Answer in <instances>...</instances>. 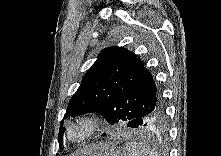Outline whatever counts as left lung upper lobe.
I'll list each match as a JSON object with an SVG mask.
<instances>
[{
  "instance_id": "obj_1",
  "label": "left lung upper lobe",
  "mask_w": 221,
  "mask_h": 156,
  "mask_svg": "<svg viewBox=\"0 0 221 156\" xmlns=\"http://www.w3.org/2000/svg\"><path fill=\"white\" fill-rule=\"evenodd\" d=\"M161 98L152 74L134 53L108 47L83 77L64 119L96 112L110 124L126 123L153 110Z\"/></svg>"
}]
</instances>
